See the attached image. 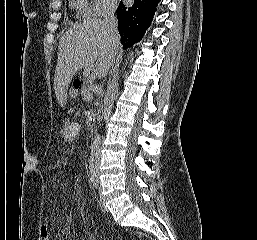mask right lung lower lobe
I'll list each match as a JSON object with an SVG mask.
<instances>
[{
    "label": "right lung lower lobe",
    "instance_id": "right-lung-lower-lobe-1",
    "mask_svg": "<svg viewBox=\"0 0 257 240\" xmlns=\"http://www.w3.org/2000/svg\"><path fill=\"white\" fill-rule=\"evenodd\" d=\"M159 0H134L131 6L120 2L117 8L118 28L124 48L139 42L152 22Z\"/></svg>",
    "mask_w": 257,
    "mask_h": 240
}]
</instances>
